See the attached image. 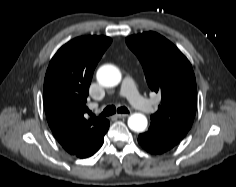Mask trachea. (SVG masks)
<instances>
[{"instance_id":"3493384b","label":"trachea","mask_w":236,"mask_h":187,"mask_svg":"<svg viewBox=\"0 0 236 187\" xmlns=\"http://www.w3.org/2000/svg\"><path fill=\"white\" fill-rule=\"evenodd\" d=\"M116 111L118 113H129V110L126 108V107H119L116 109L115 106L113 105H110V106H107L103 112L100 114V116L102 117H105V116H110V115H113L114 113H116ZM90 114L92 115V113L90 112Z\"/></svg>"}]
</instances>
